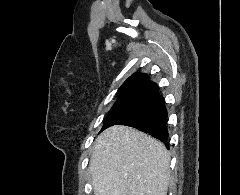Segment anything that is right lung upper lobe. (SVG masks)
Instances as JSON below:
<instances>
[{
    "label": "right lung upper lobe",
    "instance_id": "obj_1",
    "mask_svg": "<svg viewBox=\"0 0 240 195\" xmlns=\"http://www.w3.org/2000/svg\"><path fill=\"white\" fill-rule=\"evenodd\" d=\"M156 87L157 85L154 82H150L146 74H133L121 86L118 95H148Z\"/></svg>",
    "mask_w": 240,
    "mask_h": 195
}]
</instances>
